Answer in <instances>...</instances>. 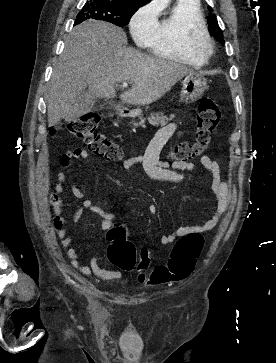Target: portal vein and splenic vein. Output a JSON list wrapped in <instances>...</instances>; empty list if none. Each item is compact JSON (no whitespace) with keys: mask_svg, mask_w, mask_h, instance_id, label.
Returning a JSON list of instances; mask_svg holds the SVG:
<instances>
[{"mask_svg":"<svg viewBox=\"0 0 276 363\" xmlns=\"http://www.w3.org/2000/svg\"><path fill=\"white\" fill-rule=\"evenodd\" d=\"M122 87H123V88L128 87V83H127V82H123Z\"/></svg>","mask_w":276,"mask_h":363,"instance_id":"18ae733b","label":"portal vein and splenic vein"}]
</instances>
